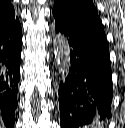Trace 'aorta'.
I'll return each mask as SVG.
<instances>
[{
  "label": "aorta",
  "mask_w": 125,
  "mask_h": 128,
  "mask_svg": "<svg viewBox=\"0 0 125 128\" xmlns=\"http://www.w3.org/2000/svg\"><path fill=\"white\" fill-rule=\"evenodd\" d=\"M53 50L58 71L61 74H65L69 67L70 47L68 40L62 34H58L54 37Z\"/></svg>",
  "instance_id": "obj_1"
}]
</instances>
